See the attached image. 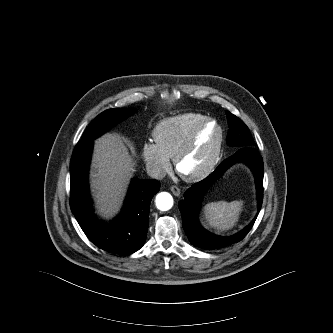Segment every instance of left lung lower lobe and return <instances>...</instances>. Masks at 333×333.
Segmentation results:
<instances>
[{
    "mask_svg": "<svg viewBox=\"0 0 333 333\" xmlns=\"http://www.w3.org/2000/svg\"><path fill=\"white\" fill-rule=\"evenodd\" d=\"M236 162H244L252 169L256 179L258 209L260 210L261 208L263 199V160L256 149L242 147L234 155L225 159L207 178L192 185L185 192L184 199L178 204L182 214L183 228L189 241L196 247L218 249L239 242L247 235L255 222L253 220L237 234L229 237H221L206 231L198 221V213L205 192L226 169Z\"/></svg>",
    "mask_w": 333,
    "mask_h": 333,
    "instance_id": "1",
    "label": "left lung lower lobe"
}]
</instances>
